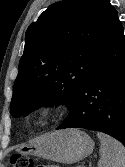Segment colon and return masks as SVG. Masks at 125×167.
<instances>
[{
	"mask_svg": "<svg viewBox=\"0 0 125 167\" xmlns=\"http://www.w3.org/2000/svg\"><path fill=\"white\" fill-rule=\"evenodd\" d=\"M11 167H32V160L23 154H13L9 159Z\"/></svg>",
	"mask_w": 125,
	"mask_h": 167,
	"instance_id": "colon-1",
	"label": "colon"
}]
</instances>
